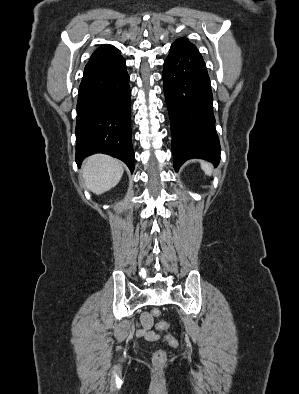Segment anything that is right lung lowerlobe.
<instances>
[{"label": "right lung lower lobe", "instance_id": "1", "mask_svg": "<svg viewBox=\"0 0 299 394\" xmlns=\"http://www.w3.org/2000/svg\"><path fill=\"white\" fill-rule=\"evenodd\" d=\"M129 75L119 55L87 63L77 102L76 162L94 153L116 157L134 170Z\"/></svg>", "mask_w": 299, "mask_h": 394}]
</instances>
